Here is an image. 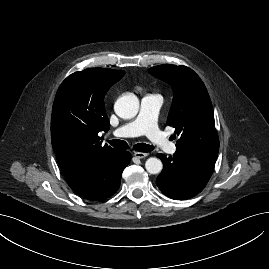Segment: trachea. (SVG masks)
Wrapping results in <instances>:
<instances>
[{
	"instance_id": "1",
	"label": "trachea",
	"mask_w": 269,
	"mask_h": 269,
	"mask_svg": "<svg viewBox=\"0 0 269 269\" xmlns=\"http://www.w3.org/2000/svg\"><path fill=\"white\" fill-rule=\"evenodd\" d=\"M108 143L117 149H128L129 148L127 142L119 140V139L110 140V141H108ZM133 149L136 151H139V152H150L154 149V146L148 145L145 143H138V144H135L133 146Z\"/></svg>"
}]
</instances>
